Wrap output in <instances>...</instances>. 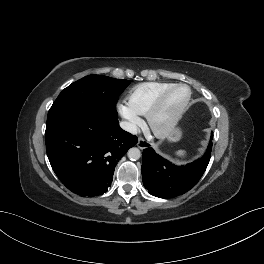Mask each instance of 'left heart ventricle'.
Returning <instances> with one entry per match:
<instances>
[{"instance_id": "obj_1", "label": "left heart ventricle", "mask_w": 264, "mask_h": 264, "mask_svg": "<svg viewBox=\"0 0 264 264\" xmlns=\"http://www.w3.org/2000/svg\"><path fill=\"white\" fill-rule=\"evenodd\" d=\"M188 96V90L184 87L174 89L166 98L165 103L157 116V123H166L176 111L183 105Z\"/></svg>"}]
</instances>
